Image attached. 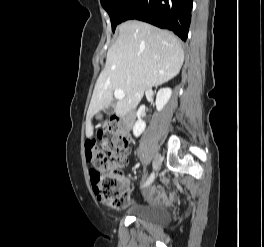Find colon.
Masks as SVG:
<instances>
[{"label":"colon","mask_w":264,"mask_h":247,"mask_svg":"<svg viewBox=\"0 0 264 247\" xmlns=\"http://www.w3.org/2000/svg\"><path fill=\"white\" fill-rule=\"evenodd\" d=\"M89 140L86 157L93 164L90 169L92 188L107 206L120 210L130 202L127 179L122 170L127 134L122 124L111 120Z\"/></svg>","instance_id":"1"}]
</instances>
